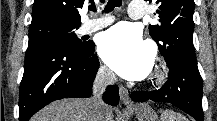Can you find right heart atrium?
Returning a JSON list of instances; mask_svg holds the SVG:
<instances>
[{"label":"right heart atrium","instance_id":"d8ad5b80","mask_svg":"<svg viewBox=\"0 0 217 121\" xmlns=\"http://www.w3.org/2000/svg\"><path fill=\"white\" fill-rule=\"evenodd\" d=\"M99 75L104 79H108L110 77L109 71L104 66L99 68Z\"/></svg>","mask_w":217,"mask_h":121}]
</instances>
